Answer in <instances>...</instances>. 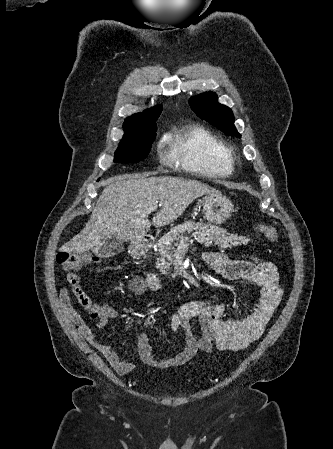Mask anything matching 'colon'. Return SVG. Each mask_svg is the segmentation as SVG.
Listing matches in <instances>:
<instances>
[{"mask_svg": "<svg viewBox=\"0 0 333 449\" xmlns=\"http://www.w3.org/2000/svg\"><path fill=\"white\" fill-rule=\"evenodd\" d=\"M255 227L270 241H278L279 236L275 228L263 224H256ZM99 260L100 258L98 256L86 252L60 251L56 255V262L65 270L79 269L84 266L96 264ZM98 315V311L92 312L93 317Z\"/></svg>", "mask_w": 333, "mask_h": 449, "instance_id": "obj_1", "label": "colon"}]
</instances>
